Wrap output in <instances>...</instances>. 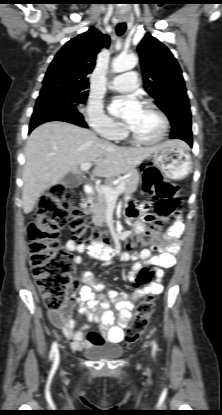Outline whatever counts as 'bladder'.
<instances>
[{"label": "bladder", "instance_id": "31cf9c89", "mask_svg": "<svg viewBox=\"0 0 222 415\" xmlns=\"http://www.w3.org/2000/svg\"><path fill=\"white\" fill-rule=\"evenodd\" d=\"M123 354V348L117 345H101L85 350V355L91 359H116Z\"/></svg>", "mask_w": 222, "mask_h": 415}]
</instances>
